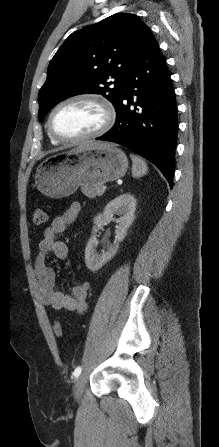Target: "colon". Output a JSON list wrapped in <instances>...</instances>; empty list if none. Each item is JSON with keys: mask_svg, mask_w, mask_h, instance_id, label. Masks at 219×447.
<instances>
[{"mask_svg": "<svg viewBox=\"0 0 219 447\" xmlns=\"http://www.w3.org/2000/svg\"><path fill=\"white\" fill-rule=\"evenodd\" d=\"M46 222V216L42 209L36 208L33 213V223L37 226L43 225ZM53 331L56 336L60 337L63 335V326L60 322H55L53 324Z\"/></svg>", "mask_w": 219, "mask_h": 447, "instance_id": "colon-1", "label": "colon"}]
</instances>
